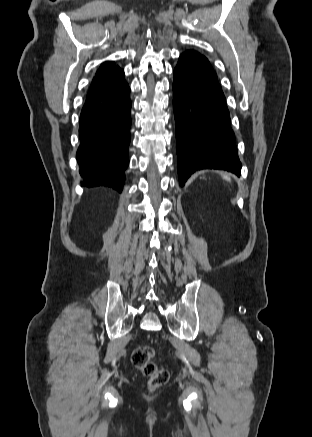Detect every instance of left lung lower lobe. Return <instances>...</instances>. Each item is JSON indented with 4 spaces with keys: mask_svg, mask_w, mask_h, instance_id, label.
I'll return each instance as SVG.
<instances>
[{
    "mask_svg": "<svg viewBox=\"0 0 312 437\" xmlns=\"http://www.w3.org/2000/svg\"><path fill=\"white\" fill-rule=\"evenodd\" d=\"M173 107L180 185L200 169L240 175L225 96L209 61L197 52L182 54L174 69Z\"/></svg>",
    "mask_w": 312,
    "mask_h": 437,
    "instance_id": "0a47b994",
    "label": "left lung lower lobe"
}]
</instances>
